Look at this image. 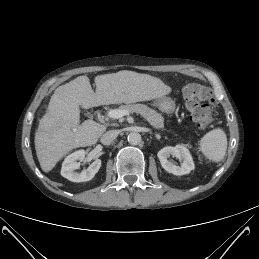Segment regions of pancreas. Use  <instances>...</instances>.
I'll list each match as a JSON object with an SVG mask.
<instances>
[{
  "mask_svg": "<svg viewBox=\"0 0 259 259\" xmlns=\"http://www.w3.org/2000/svg\"><path fill=\"white\" fill-rule=\"evenodd\" d=\"M119 109L138 113L144 117L152 127L156 129H164V118L162 115L144 104L121 105Z\"/></svg>",
  "mask_w": 259,
  "mask_h": 259,
  "instance_id": "1",
  "label": "pancreas"
}]
</instances>
